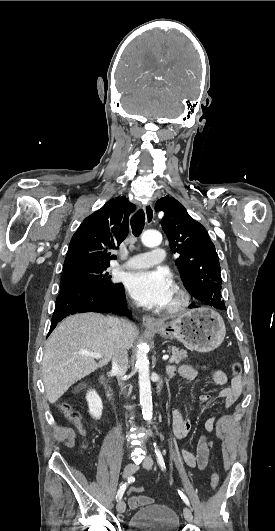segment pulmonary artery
<instances>
[{
    "label": "pulmonary artery",
    "mask_w": 275,
    "mask_h": 531,
    "mask_svg": "<svg viewBox=\"0 0 275 531\" xmlns=\"http://www.w3.org/2000/svg\"><path fill=\"white\" fill-rule=\"evenodd\" d=\"M150 259L148 258L151 254ZM151 252H145L142 254H137L131 257L127 262L121 264V268L123 269H137L140 268L143 265H161L163 263V259L166 256V253L164 250L161 249L160 246L155 245L152 247Z\"/></svg>",
    "instance_id": "pulmonary-artery-1"
}]
</instances>
